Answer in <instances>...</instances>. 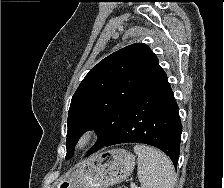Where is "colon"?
Segmentation results:
<instances>
[{"mask_svg":"<svg viewBox=\"0 0 224 188\" xmlns=\"http://www.w3.org/2000/svg\"><path fill=\"white\" fill-rule=\"evenodd\" d=\"M117 188H126V187L120 186V187H117Z\"/></svg>","mask_w":224,"mask_h":188,"instance_id":"obj_1","label":"colon"}]
</instances>
